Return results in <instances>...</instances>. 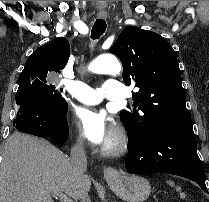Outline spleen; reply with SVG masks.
<instances>
[{"label": "spleen", "instance_id": "1", "mask_svg": "<svg viewBox=\"0 0 209 202\" xmlns=\"http://www.w3.org/2000/svg\"><path fill=\"white\" fill-rule=\"evenodd\" d=\"M167 183L171 186L174 187L175 183L171 180H168ZM176 191L179 192L180 198L185 199L186 198V194L184 192L181 191V187L176 186L175 187Z\"/></svg>", "mask_w": 209, "mask_h": 202}]
</instances>
